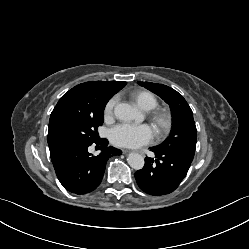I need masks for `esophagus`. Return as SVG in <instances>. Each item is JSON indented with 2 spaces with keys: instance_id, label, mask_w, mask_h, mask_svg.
Here are the masks:
<instances>
[{
  "instance_id": "1",
  "label": "esophagus",
  "mask_w": 249,
  "mask_h": 249,
  "mask_svg": "<svg viewBox=\"0 0 249 249\" xmlns=\"http://www.w3.org/2000/svg\"><path fill=\"white\" fill-rule=\"evenodd\" d=\"M123 152H124V153H127V152H129V151H128V150H123Z\"/></svg>"
}]
</instances>
